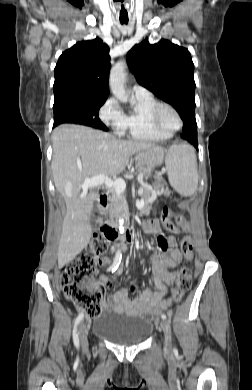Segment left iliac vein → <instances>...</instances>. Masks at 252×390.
<instances>
[{
	"label": "left iliac vein",
	"mask_w": 252,
	"mask_h": 390,
	"mask_svg": "<svg viewBox=\"0 0 252 390\" xmlns=\"http://www.w3.org/2000/svg\"><path fill=\"white\" fill-rule=\"evenodd\" d=\"M160 328L164 332L165 341H164V349L166 351H170L172 347V337H171V327L167 320L162 319L160 321Z\"/></svg>",
	"instance_id": "obj_1"
}]
</instances>
